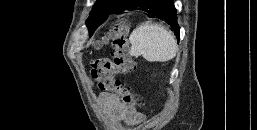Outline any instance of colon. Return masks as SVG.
<instances>
[{
    "label": "colon",
    "instance_id": "1",
    "mask_svg": "<svg viewBox=\"0 0 257 130\" xmlns=\"http://www.w3.org/2000/svg\"><path fill=\"white\" fill-rule=\"evenodd\" d=\"M129 27L125 22H118L110 31L112 50L109 57L97 58L91 62L90 74L99 91L115 93L123 105L142 108L138 95L120 79V75L135 70L128 45Z\"/></svg>",
    "mask_w": 257,
    "mask_h": 130
}]
</instances>
